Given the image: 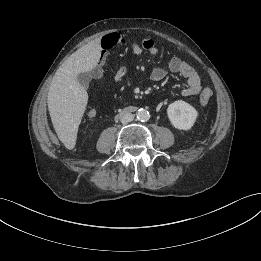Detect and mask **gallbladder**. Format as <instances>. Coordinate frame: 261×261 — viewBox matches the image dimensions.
Masks as SVG:
<instances>
[{
	"label": "gallbladder",
	"instance_id": "obj_1",
	"mask_svg": "<svg viewBox=\"0 0 261 261\" xmlns=\"http://www.w3.org/2000/svg\"><path fill=\"white\" fill-rule=\"evenodd\" d=\"M91 73H80L77 75V80L80 83L81 86L87 88L89 86V83L91 81Z\"/></svg>",
	"mask_w": 261,
	"mask_h": 261
}]
</instances>
